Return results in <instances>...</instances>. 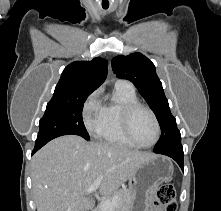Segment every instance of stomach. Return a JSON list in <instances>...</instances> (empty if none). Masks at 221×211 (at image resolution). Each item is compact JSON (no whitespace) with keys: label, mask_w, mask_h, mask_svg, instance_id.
I'll list each match as a JSON object with an SVG mask.
<instances>
[{"label":"stomach","mask_w":221,"mask_h":211,"mask_svg":"<svg viewBox=\"0 0 221 211\" xmlns=\"http://www.w3.org/2000/svg\"><path fill=\"white\" fill-rule=\"evenodd\" d=\"M173 175L172 162L163 156L153 155L140 162L130 178L131 211H146L147 204L159 185Z\"/></svg>","instance_id":"1"}]
</instances>
